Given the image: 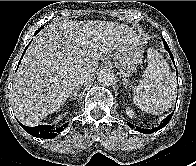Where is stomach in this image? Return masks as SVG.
Segmentation results:
<instances>
[{"label": "stomach", "instance_id": "0dacf381", "mask_svg": "<svg viewBox=\"0 0 196 166\" xmlns=\"http://www.w3.org/2000/svg\"><path fill=\"white\" fill-rule=\"evenodd\" d=\"M142 58L143 52L135 44L122 45L115 54L117 68L124 75L135 73Z\"/></svg>", "mask_w": 196, "mask_h": 166}]
</instances>
